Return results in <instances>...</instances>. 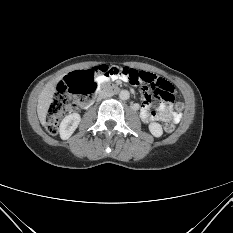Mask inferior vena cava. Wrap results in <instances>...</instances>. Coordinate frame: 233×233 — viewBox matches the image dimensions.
I'll list each match as a JSON object with an SVG mask.
<instances>
[{"label":"inferior vena cava","instance_id":"602c4592","mask_svg":"<svg viewBox=\"0 0 233 233\" xmlns=\"http://www.w3.org/2000/svg\"><path fill=\"white\" fill-rule=\"evenodd\" d=\"M112 95H113V92H112V91H107L106 94L100 95L98 99H103V98H105V97H110V96H112Z\"/></svg>","mask_w":233,"mask_h":233}]
</instances>
